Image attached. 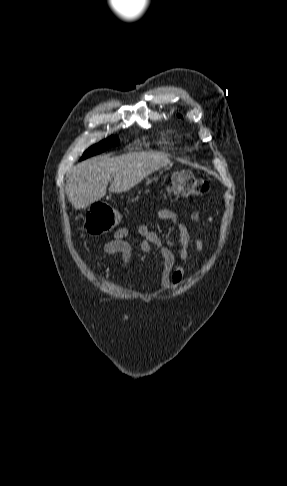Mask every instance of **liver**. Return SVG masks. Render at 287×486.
Returning a JSON list of instances; mask_svg holds the SVG:
<instances>
[{
	"mask_svg": "<svg viewBox=\"0 0 287 486\" xmlns=\"http://www.w3.org/2000/svg\"><path fill=\"white\" fill-rule=\"evenodd\" d=\"M170 163L167 156L149 152H133L115 158L89 159L77 165L68 174L67 198L76 208H86L106 195L108 183L112 178L114 180L109 191L125 192Z\"/></svg>",
	"mask_w": 287,
	"mask_h": 486,
	"instance_id": "6515ba94",
	"label": "liver"
}]
</instances>
